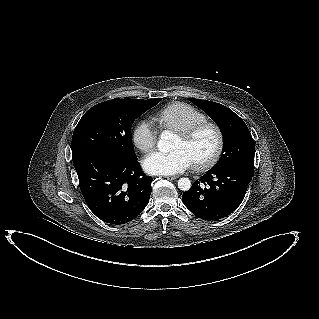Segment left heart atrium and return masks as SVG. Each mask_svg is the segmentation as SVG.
Listing matches in <instances>:
<instances>
[{"label": "left heart atrium", "instance_id": "obj_1", "mask_svg": "<svg viewBox=\"0 0 319 319\" xmlns=\"http://www.w3.org/2000/svg\"><path fill=\"white\" fill-rule=\"evenodd\" d=\"M143 168L153 175H172L186 170L192 164L189 155L182 149L169 152H152L143 161Z\"/></svg>", "mask_w": 319, "mask_h": 319}]
</instances>
